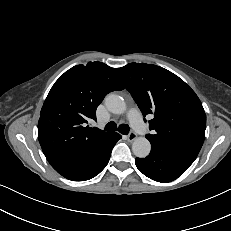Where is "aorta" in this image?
<instances>
[{
	"instance_id": "obj_1",
	"label": "aorta",
	"mask_w": 231,
	"mask_h": 231,
	"mask_svg": "<svg viewBox=\"0 0 231 231\" xmlns=\"http://www.w3.org/2000/svg\"><path fill=\"white\" fill-rule=\"evenodd\" d=\"M107 109L114 114H122L126 111V104L119 95L110 94L105 99ZM133 154L138 158H145L151 151V144L145 137H138L132 144Z\"/></svg>"
}]
</instances>
